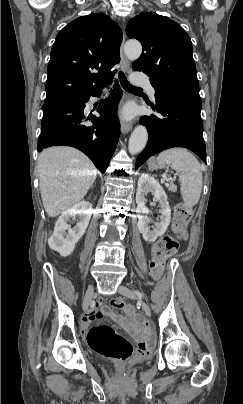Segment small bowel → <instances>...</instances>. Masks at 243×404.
Wrapping results in <instances>:
<instances>
[{"label": "small bowel", "instance_id": "c3829d8e", "mask_svg": "<svg viewBox=\"0 0 243 404\" xmlns=\"http://www.w3.org/2000/svg\"><path fill=\"white\" fill-rule=\"evenodd\" d=\"M103 313L100 308V304L97 302L93 304L90 312L83 317L81 321V328L83 332H86L90 325L97 319H100L102 317Z\"/></svg>", "mask_w": 243, "mask_h": 404}]
</instances>
